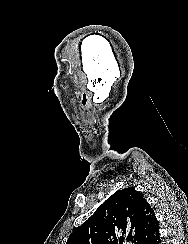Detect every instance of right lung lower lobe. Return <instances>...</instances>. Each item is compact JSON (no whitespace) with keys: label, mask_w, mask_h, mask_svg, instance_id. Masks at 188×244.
Wrapping results in <instances>:
<instances>
[{"label":"right lung lower lobe","mask_w":188,"mask_h":244,"mask_svg":"<svg viewBox=\"0 0 188 244\" xmlns=\"http://www.w3.org/2000/svg\"><path fill=\"white\" fill-rule=\"evenodd\" d=\"M145 244H161L159 236V226L154 228Z\"/></svg>","instance_id":"98d812e1"}]
</instances>
